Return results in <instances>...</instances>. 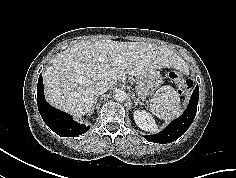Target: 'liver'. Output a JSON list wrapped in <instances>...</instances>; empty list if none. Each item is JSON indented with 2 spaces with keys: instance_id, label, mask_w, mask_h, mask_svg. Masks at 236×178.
Returning a JSON list of instances; mask_svg holds the SVG:
<instances>
[{
  "instance_id": "6515ba94",
  "label": "liver",
  "mask_w": 236,
  "mask_h": 178,
  "mask_svg": "<svg viewBox=\"0 0 236 178\" xmlns=\"http://www.w3.org/2000/svg\"><path fill=\"white\" fill-rule=\"evenodd\" d=\"M120 65H114L117 57ZM182 59L167 47L108 39L77 43L60 52L43 73L47 101L76 117L90 112L100 83L115 84L125 75L139 77L177 68Z\"/></svg>"
}]
</instances>
